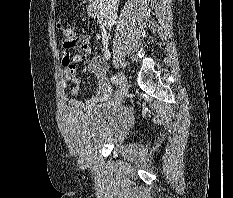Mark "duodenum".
<instances>
[{
  "label": "duodenum",
  "mask_w": 233,
  "mask_h": 198,
  "mask_svg": "<svg viewBox=\"0 0 233 198\" xmlns=\"http://www.w3.org/2000/svg\"><path fill=\"white\" fill-rule=\"evenodd\" d=\"M87 11H88V15L91 18L97 19L100 22H103L101 0H90Z\"/></svg>",
  "instance_id": "obj_1"
}]
</instances>
